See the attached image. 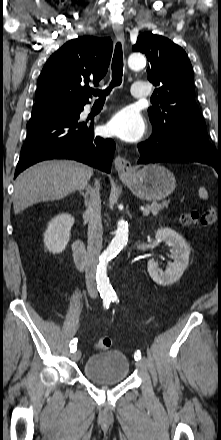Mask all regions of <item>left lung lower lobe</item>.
<instances>
[{
  "label": "left lung lower lobe",
  "mask_w": 221,
  "mask_h": 440,
  "mask_svg": "<svg viewBox=\"0 0 221 440\" xmlns=\"http://www.w3.org/2000/svg\"><path fill=\"white\" fill-rule=\"evenodd\" d=\"M139 164L193 161L212 166L221 176V152L211 144L208 136L189 128L158 133L138 144Z\"/></svg>",
  "instance_id": "1"
}]
</instances>
